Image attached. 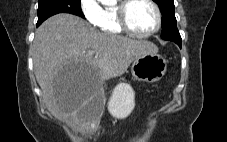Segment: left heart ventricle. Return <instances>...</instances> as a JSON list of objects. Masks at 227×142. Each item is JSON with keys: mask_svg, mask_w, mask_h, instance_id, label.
I'll list each match as a JSON object with an SVG mask.
<instances>
[{"mask_svg": "<svg viewBox=\"0 0 227 142\" xmlns=\"http://www.w3.org/2000/svg\"><path fill=\"white\" fill-rule=\"evenodd\" d=\"M131 27L140 33L151 31L157 22L154 8L146 0H135L128 12Z\"/></svg>", "mask_w": 227, "mask_h": 142, "instance_id": "left-heart-ventricle-1", "label": "left heart ventricle"}]
</instances>
